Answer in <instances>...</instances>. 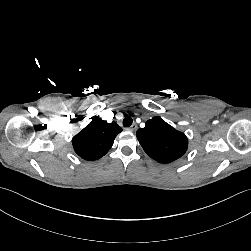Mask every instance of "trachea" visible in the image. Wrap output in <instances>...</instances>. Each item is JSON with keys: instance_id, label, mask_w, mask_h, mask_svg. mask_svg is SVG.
Listing matches in <instances>:
<instances>
[{"instance_id": "trachea-1", "label": "trachea", "mask_w": 251, "mask_h": 251, "mask_svg": "<svg viewBox=\"0 0 251 251\" xmlns=\"http://www.w3.org/2000/svg\"><path fill=\"white\" fill-rule=\"evenodd\" d=\"M133 123V120L130 116H126L123 120V126L124 127H130Z\"/></svg>"}]
</instances>
